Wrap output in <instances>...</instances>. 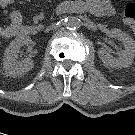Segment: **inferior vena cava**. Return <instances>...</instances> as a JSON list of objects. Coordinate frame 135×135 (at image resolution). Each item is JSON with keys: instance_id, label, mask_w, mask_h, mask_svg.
Instances as JSON below:
<instances>
[{"instance_id": "inferior-vena-cava-1", "label": "inferior vena cava", "mask_w": 135, "mask_h": 135, "mask_svg": "<svg viewBox=\"0 0 135 135\" xmlns=\"http://www.w3.org/2000/svg\"><path fill=\"white\" fill-rule=\"evenodd\" d=\"M55 27L54 24H52L51 26H49L48 28H46L45 32H49L50 30H52Z\"/></svg>"}]
</instances>
